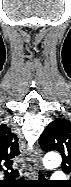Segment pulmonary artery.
I'll return each mask as SVG.
<instances>
[{
  "mask_svg": "<svg viewBox=\"0 0 71 187\" xmlns=\"http://www.w3.org/2000/svg\"><path fill=\"white\" fill-rule=\"evenodd\" d=\"M65 178H66V175L63 172H56L53 175V179H56V180H62V179H65Z\"/></svg>",
  "mask_w": 71,
  "mask_h": 187,
  "instance_id": "1",
  "label": "pulmonary artery"
}]
</instances>
